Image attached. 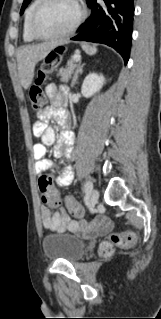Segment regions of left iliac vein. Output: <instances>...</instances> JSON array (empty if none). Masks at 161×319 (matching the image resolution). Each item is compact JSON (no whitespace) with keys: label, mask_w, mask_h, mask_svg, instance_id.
Masks as SVG:
<instances>
[{"label":"left iliac vein","mask_w":161,"mask_h":319,"mask_svg":"<svg viewBox=\"0 0 161 319\" xmlns=\"http://www.w3.org/2000/svg\"><path fill=\"white\" fill-rule=\"evenodd\" d=\"M99 199V192L97 189H93L90 192V196H89V203L92 207H94L96 205V203L98 202Z\"/></svg>","instance_id":"1"}]
</instances>
